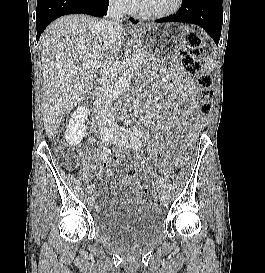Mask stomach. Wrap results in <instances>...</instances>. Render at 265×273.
I'll list each match as a JSON object with an SVG mask.
<instances>
[{
    "label": "stomach",
    "instance_id": "1",
    "mask_svg": "<svg viewBox=\"0 0 265 273\" xmlns=\"http://www.w3.org/2000/svg\"><path fill=\"white\" fill-rule=\"evenodd\" d=\"M187 30H195V25H154L137 28L132 34L138 38V44H132V49L148 50L139 55L141 64H173L175 51L162 50L177 49Z\"/></svg>",
    "mask_w": 265,
    "mask_h": 273
}]
</instances>
